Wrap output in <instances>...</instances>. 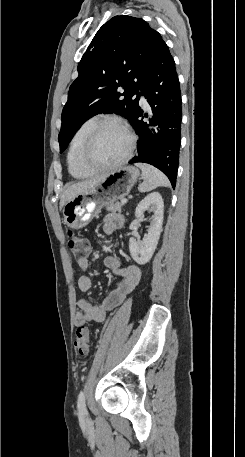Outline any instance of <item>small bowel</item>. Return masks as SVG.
<instances>
[{"instance_id":"c3829d8e","label":"small bowel","mask_w":245,"mask_h":457,"mask_svg":"<svg viewBox=\"0 0 245 457\" xmlns=\"http://www.w3.org/2000/svg\"><path fill=\"white\" fill-rule=\"evenodd\" d=\"M124 224V217L119 213H110L102 220V229L106 235L113 234ZM78 268L82 275L78 278V288L82 292H88L92 288V279L87 272L90 268V262L87 258L78 260ZM105 266L115 275L122 277L118 286L110 292L100 305H96L85 299L77 302L79 311L74 318V324L77 327L85 325L87 322L101 323L105 321L107 312L116 308L127 296L134 291L142 279V271L136 265L123 267L120 260L115 256H107L104 259Z\"/></svg>"}]
</instances>
